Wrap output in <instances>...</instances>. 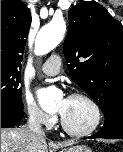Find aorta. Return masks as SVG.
<instances>
[{
    "instance_id": "obj_1",
    "label": "aorta",
    "mask_w": 123,
    "mask_h": 152,
    "mask_svg": "<svg viewBox=\"0 0 123 152\" xmlns=\"http://www.w3.org/2000/svg\"><path fill=\"white\" fill-rule=\"evenodd\" d=\"M66 32V23L63 19H53L42 27L35 42V53L38 56L52 51L63 39ZM37 97L40 107L49 111L56 108L57 94L52 88L39 89Z\"/></svg>"
}]
</instances>
